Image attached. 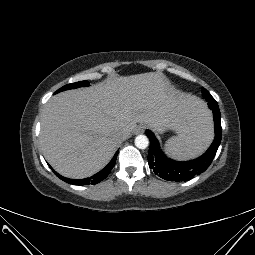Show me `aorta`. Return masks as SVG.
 <instances>
[{"label": "aorta", "instance_id": "obj_1", "mask_svg": "<svg viewBox=\"0 0 255 255\" xmlns=\"http://www.w3.org/2000/svg\"><path fill=\"white\" fill-rule=\"evenodd\" d=\"M135 146L139 149H146L149 145V139L146 135H138L135 138Z\"/></svg>", "mask_w": 255, "mask_h": 255}]
</instances>
